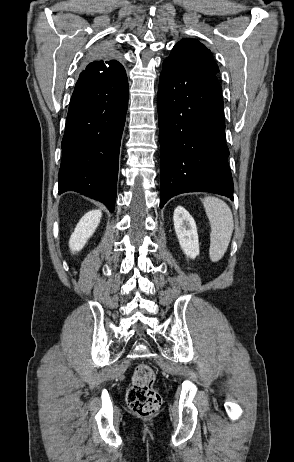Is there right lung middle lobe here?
I'll use <instances>...</instances> for the list:
<instances>
[{
    "mask_svg": "<svg viewBox=\"0 0 294 462\" xmlns=\"http://www.w3.org/2000/svg\"><path fill=\"white\" fill-rule=\"evenodd\" d=\"M113 50V45L111 42H102L100 43L95 49L92 51V55L95 56L96 54L104 51Z\"/></svg>",
    "mask_w": 294,
    "mask_h": 462,
    "instance_id": "obj_1",
    "label": "right lung middle lobe"
}]
</instances>
